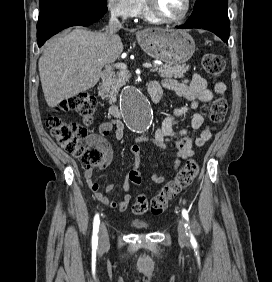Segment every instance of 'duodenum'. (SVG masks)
<instances>
[{"label":"duodenum","mask_w":272,"mask_h":282,"mask_svg":"<svg viewBox=\"0 0 272 282\" xmlns=\"http://www.w3.org/2000/svg\"><path fill=\"white\" fill-rule=\"evenodd\" d=\"M113 69H106L101 76V83L103 86L108 84L113 76ZM147 92L153 104L160 102L162 97V87L156 80H150L147 84ZM108 114L114 118H120L121 110L115 101L108 102Z\"/></svg>","instance_id":"1"}]
</instances>
